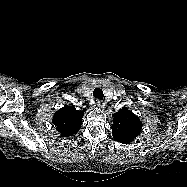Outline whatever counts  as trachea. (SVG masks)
I'll list each match as a JSON object with an SVG mask.
<instances>
[{"mask_svg": "<svg viewBox=\"0 0 187 187\" xmlns=\"http://www.w3.org/2000/svg\"><path fill=\"white\" fill-rule=\"evenodd\" d=\"M93 96L96 99L103 100L104 95L102 89L99 87L95 88V90L93 91Z\"/></svg>", "mask_w": 187, "mask_h": 187, "instance_id": "1", "label": "trachea"}]
</instances>
